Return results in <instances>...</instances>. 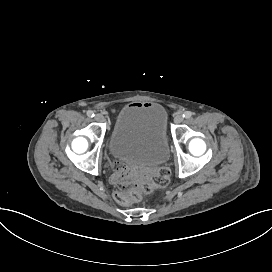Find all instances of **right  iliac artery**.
Instances as JSON below:
<instances>
[{
  "instance_id": "obj_1",
  "label": "right iliac artery",
  "mask_w": 272,
  "mask_h": 272,
  "mask_svg": "<svg viewBox=\"0 0 272 272\" xmlns=\"http://www.w3.org/2000/svg\"><path fill=\"white\" fill-rule=\"evenodd\" d=\"M87 116H89V117H94L95 115H94V112H93V111L88 110V111H87Z\"/></svg>"
}]
</instances>
